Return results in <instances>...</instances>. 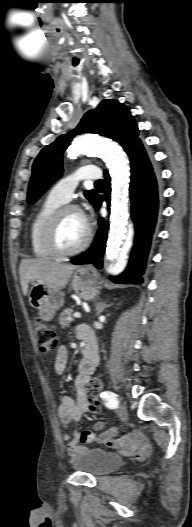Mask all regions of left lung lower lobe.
<instances>
[{"label": "left lung lower lobe", "mask_w": 192, "mask_h": 527, "mask_svg": "<svg viewBox=\"0 0 192 527\" xmlns=\"http://www.w3.org/2000/svg\"><path fill=\"white\" fill-rule=\"evenodd\" d=\"M128 156L131 161V217L135 223L136 236L127 269L121 275L111 277V280L118 284H141L143 282L141 275L145 269L158 212L157 181L141 142L129 151ZM105 185L104 198L109 204L111 187L107 171H105ZM101 203L102 197L99 196L95 207L97 210ZM108 227L109 224L100 218L98 233L93 244L86 252L72 259L71 262L76 265L93 262L98 268H101Z\"/></svg>", "instance_id": "obj_1"}]
</instances>
